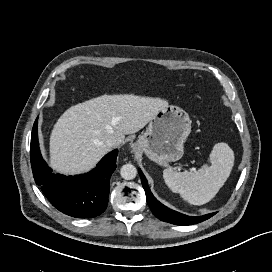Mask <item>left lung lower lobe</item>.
<instances>
[{
	"label": "left lung lower lobe",
	"instance_id": "1",
	"mask_svg": "<svg viewBox=\"0 0 272 272\" xmlns=\"http://www.w3.org/2000/svg\"><path fill=\"white\" fill-rule=\"evenodd\" d=\"M139 175H140L142 185L146 193L147 203L152 213L161 221H165V222L176 224V225H192V224L203 222L215 214V213H210L203 216L192 217V216H187L167 208L153 196V194L151 193L148 187L147 180L140 169H139Z\"/></svg>",
	"mask_w": 272,
	"mask_h": 272
}]
</instances>
